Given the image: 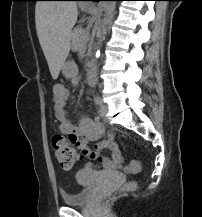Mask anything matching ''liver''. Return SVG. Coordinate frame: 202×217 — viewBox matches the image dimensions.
<instances>
[{
	"instance_id": "obj_1",
	"label": "liver",
	"mask_w": 202,
	"mask_h": 217,
	"mask_svg": "<svg viewBox=\"0 0 202 217\" xmlns=\"http://www.w3.org/2000/svg\"><path fill=\"white\" fill-rule=\"evenodd\" d=\"M77 15V3L74 1L36 3L37 36L53 79H57L69 55L71 32Z\"/></svg>"
}]
</instances>
